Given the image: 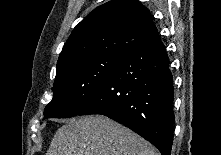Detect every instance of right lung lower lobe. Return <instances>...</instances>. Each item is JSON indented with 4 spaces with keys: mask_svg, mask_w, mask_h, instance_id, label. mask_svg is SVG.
<instances>
[{
    "mask_svg": "<svg viewBox=\"0 0 221 155\" xmlns=\"http://www.w3.org/2000/svg\"><path fill=\"white\" fill-rule=\"evenodd\" d=\"M173 77L157 35L129 50L78 115H105L170 155L173 141Z\"/></svg>",
    "mask_w": 221,
    "mask_h": 155,
    "instance_id": "98d812e1",
    "label": "right lung lower lobe"
}]
</instances>
